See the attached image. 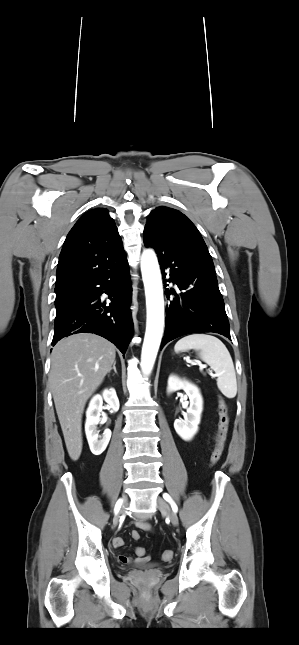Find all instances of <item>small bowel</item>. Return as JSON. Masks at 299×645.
I'll use <instances>...</instances> for the list:
<instances>
[{"instance_id": "c3829d8e", "label": "small bowel", "mask_w": 299, "mask_h": 645, "mask_svg": "<svg viewBox=\"0 0 299 645\" xmlns=\"http://www.w3.org/2000/svg\"><path fill=\"white\" fill-rule=\"evenodd\" d=\"M137 526H138L139 528L143 529V530H149V529H150L149 524H147L146 522H141V521H140V522H137ZM123 544H124V540H123L121 537H116V538L113 540V545H114V547H115V548H120V547H122V546H123ZM118 559H119V561H120V562H122V563H128V562H130V561H131V559H130V558H128V557H126V556H124V555H119V556H118ZM147 560H148V557H143V558L138 557L137 559H135V561H136V562H138V563L145 562V561H147Z\"/></svg>"}]
</instances>
